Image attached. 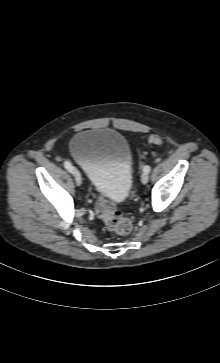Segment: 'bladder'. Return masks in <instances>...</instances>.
<instances>
[{
  "mask_svg": "<svg viewBox=\"0 0 220 363\" xmlns=\"http://www.w3.org/2000/svg\"><path fill=\"white\" fill-rule=\"evenodd\" d=\"M69 148L100 195L114 204L127 198L133 162L128 141L121 133L104 128L85 129L72 137Z\"/></svg>",
  "mask_w": 220,
  "mask_h": 363,
  "instance_id": "bladder-1",
  "label": "bladder"
}]
</instances>
